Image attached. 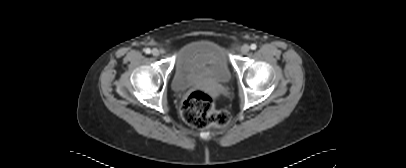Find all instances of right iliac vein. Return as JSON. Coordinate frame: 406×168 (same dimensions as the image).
I'll list each match as a JSON object with an SVG mask.
<instances>
[{
    "label": "right iliac vein",
    "instance_id": "1",
    "mask_svg": "<svg viewBox=\"0 0 406 168\" xmlns=\"http://www.w3.org/2000/svg\"><path fill=\"white\" fill-rule=\"evenodd\" d=\"M152 55L155 56V57H158L160 55V51L157 48H154L152 50Z\"/></svg>",
    "mask_w": 406,
    "mask_h": 168
}]
</instances>
